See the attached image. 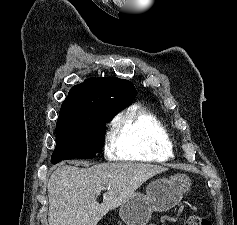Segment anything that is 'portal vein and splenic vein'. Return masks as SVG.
I'll return each instance as SVG.
<instances>
[{
	"label": "portal vein and splenic vein",
	"mask_w": 237,
	"mask_h": 225,
	"mask_svg": "<svg viewBox=\"0 0 237 225\" xmlns=\"http://www.w3.org/2000/svg\"><path fill=\"white\" fill-rule=\"evenodd\" d=\"M103 189H104V187L101 186V187H99V188L97 189V191L100 192V191L103 190Z\"/></svg>",
	"instance_id": "obj_1"
}]
</instances>
